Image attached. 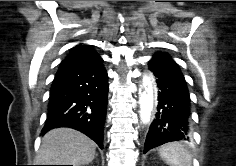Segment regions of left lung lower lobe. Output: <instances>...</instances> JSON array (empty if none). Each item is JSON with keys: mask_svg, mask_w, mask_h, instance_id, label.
Masks as SVG:
<instances>
[{"mask_svg": "<svg viewBox=\"0 0 236 166\" xmlns=\"http://www.w3.org/2000/svg\"><path fill=\"white\" fill-rule=\"evenodd\" d=\"M148 65L156 79L158 104L144 153L167 142L188 141L191 136L190 96L178 65L165 53L155 54Z\"/></svg>", "mask_w": 236, "mask_h": 166, "instance_id": "left-lung-lower-lobe-1", "label": "left lung lower lobe"}]
</instances>
